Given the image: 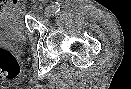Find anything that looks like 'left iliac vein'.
Wrapping results in <instances>:
<instances>
[{"label":"left iliac vein","instance_id":"1","mask_svg":"<svg viewBox=\"0 0 131 89\" xmlns=\"http://www.w3.org/2000/svg\"><path fill=\"white\" fill-rule=\"evenodd\" d=\"M53 14V8L48 6L46 9H45V16L46 17H50L51 15Z\"/></svg>","mask_w":131,"mask_h":89}]
</instances>
